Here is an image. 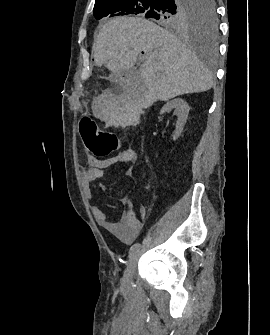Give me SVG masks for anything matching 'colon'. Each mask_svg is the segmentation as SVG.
Wrapping results in <instances>:
<instances>
[{
    "instance_id": "colon-1",
    "label": "colon",
    "mask_w": 270,
    "mask_h": 335,
    "mask_svg": "<svg viewBox=\"0 0 270 335\" xmlns=\"http://www.w3.org/2000/svg\"><path fill=\"white\" fill-rule=\"evenodd\" d=\"M81 133L86 148L96 158H106L116 153L123 143V137L102 130L89 116H80Z\"/></svg>"
}]
</instances>
